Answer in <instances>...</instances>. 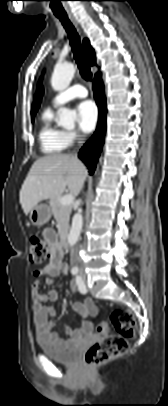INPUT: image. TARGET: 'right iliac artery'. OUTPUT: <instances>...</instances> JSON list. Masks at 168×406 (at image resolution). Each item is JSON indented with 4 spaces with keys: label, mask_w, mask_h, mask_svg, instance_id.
I'll use <instances>...</instances> for the list:
<instances>
[{
    "label": "right iliac artery",
    "mask_w": 168,
    "mask_h": 406,
    "mask_svg": "<svg viewBox=\"0 0 168 406\" xmlns=\"http://www.w3.org/2000/svg\"><path fill=\"white\" fill-rule=\"evenodd\" d=\"M71 273L76 275L78 273V268H72Z\"/></svg>",
    "instance_id": "1"
}]
</instances>
